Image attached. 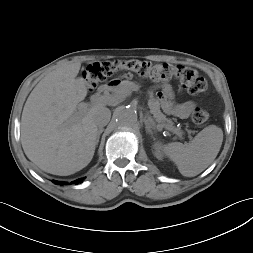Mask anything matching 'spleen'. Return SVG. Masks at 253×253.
<instances>
[{
	"instance_id": "1",
	"label": "spleen",
	"mask_w": 253,
	"mask_h": 253,
	"mask_svg": "<svg viewBox=\"0 0 253 253\" xmlns=\"http://www.w3.org/2000/svg\"><path fill=\"white\" fill-rule=\"evenodd\" d=\"M222 142V129L216 125H209L190 143H169L164 147V152L177 165L183 176L193 177L204 171L214 161Z\"/></svg>"
}]
</instances>
